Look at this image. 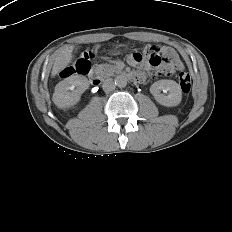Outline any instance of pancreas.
Wrapping results in <instances>:
<instances>
[{
    "instance_id": "obj_1",
    "label": "pancreas",
    "mask_w": 232,
    "mask_h": 232,
    "mask_svg": "<svg viewBox=\"0 0 232 232\" xmlns=\"http://www.w3.org/2000/svg\"><path fill=\"white\" fill-rule=\"evenodd\" d=\"M96 70L101 77L113 76L115 73L119 72L115 65L110 64L97 65Z\"/></svg>"
}]
</instances>
